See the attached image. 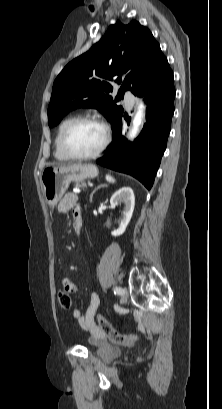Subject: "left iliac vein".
Returning <instances> with one entry per match:
<instances>
[{
	"instance_id": "4c4485c4",
	"label": "left iliac vein",
	"mask_w": 222,
	"mask_h": 409,
	"mask_svg": "<svg viewBox=\"0 0 222 409\" xmlns=\"http://www.w3.org/2000/svg\"><path fill=\"white\" fill-rule=\"evenodd\" d=\"M121 303L124 304L127 301L128 293L125 288H121Z\"/></svg>"
}]
</instances>
